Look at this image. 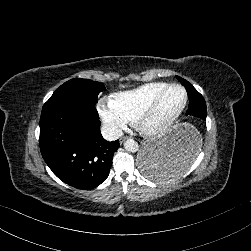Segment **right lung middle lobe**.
Returning a JSON list of instances; mask_svg holds the SVG:
<instances>
[{"label":"right lung middle lobe","mask_w":251,"mask_h":251,"mask_svg":"<svg viewBox=\"0 0 251 251\" xmlns=\"http://www.w3.org/2000/svg\"><path fill=\"white\" fill-rule=\"evenodd\" d=\"M105 86L97 81L74 78L62 84L45 104L78 101L95 106Z\"/></svg>","instance_id":"obj_1"}]
</instances>
